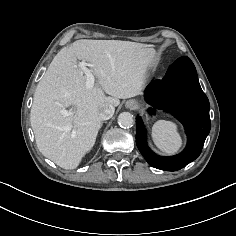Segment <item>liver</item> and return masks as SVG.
<instances>
[{"label":"liver","instance_id":"1","mask_svg":"<svg viewBox=\"0 0 236 236\" xmlns=\"http://www.w3.org/2000/svg\"><path fill=\"white\" fill-rule=\"evenodd\" d=\"M154 59L148 45L130 41L82 39L62 48L34 94L30 121L39 151L61 168H77L96 142L101 109L140 95ZM78 60L90 67L92 88ZM68 107L71 114L62 115Z\"/></svg>","mask_w":236,"mask_h":236}]
</instances>
